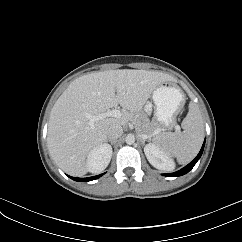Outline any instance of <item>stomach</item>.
I'll return each mask as SVG.
<instances>
[{"instance_id":"1","label":"stomach","mask_w":242,"mask_h":242,"mask_svg":"<svg viewBox=\"0 0 242 242\" xmlns=\"http://www.w3.org/2000/svg\"><path fill=\"white\" fill-rule=\"evenodd\" d=\"M155 104V118L161 126L171 127L185 103L182 90L171 82L159 85L152 95Z\"/></svg>"}]
</instances>
